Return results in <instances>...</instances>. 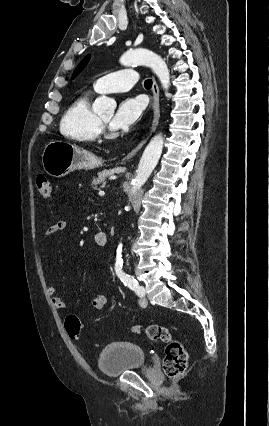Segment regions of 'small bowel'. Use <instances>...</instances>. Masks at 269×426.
I'll list each match as a JSON object with an SVG mask.
<instances>
[{
	"mask_svg": "<svg viewBox=\"0 0 269 426\" xmlns=\"http://www.w3.org/2000/svg\"><path fill=\"white\" fill-rule=\"evenodd\" d=\"M66 229L65 221H56L48 227L45 233L46 239H49L56 234L63 232ZM47 292L51 296L52 304L59 313H64L66 310L65 301L57 295V290L54 285L47 286ZM108 304V298L103 294H97L92 299L93 308L97 311H102Z\"/></svg>",
	"mask_w": 269,
	"mask_h": 426,
	"instance_id": "1",
	"label": "small bowel"
}]
</instances>
